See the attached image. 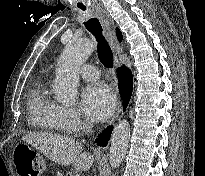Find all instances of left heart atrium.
<instances>
[{
  "mask_svg": "<svg viewBox=\"0 0 205 176\" xmlns=\"http://www.w3.org/2000/svg\"><path fill=\"white\" fill-rule=\"evenodd\" d=\"M116 104V98L104 83L87 85L81 94V106L93 120L103 121L109 117Z\"/></svg>",
  "mask_w": 205,
  "mask_h": 176,
  "instance_id": "1",
  "label": "left heart atrium"
}]
</instances>
